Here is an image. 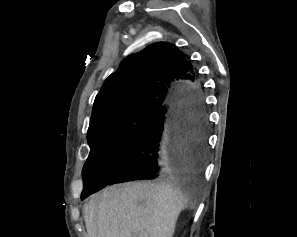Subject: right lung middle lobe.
<instances>
[{"instance_id":"1","label":"right lung middle lobe","mask_w":297,"mask_h":237,"mask_svg":"<svg viewBox=\"0 0 297 237\" xmlns=\"http://www.w3.org/2000/svg\"><path fill=\"white\" fill-rule=\"evenodd\" d=\"M151 113L135 112L106 119L88 129L90 154L83 167V200L104 187L106 179L134 144Z\"/></svg>"}]
</instances>
